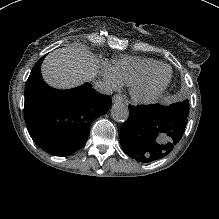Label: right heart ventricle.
Listing matches in <instances>:
<instances>
[{"label":"right heart ventricle","mask_w":219,"mask_h":219,"mask_svg":"<svg viewBox=\"0 0 219 219\" xmlns=\"http://www.w3.org/2000/svg\"><path fill=\"white\" fill-rule=\"evenodd\" d=\"M160 65L162 63L151 58L126 56L113 61L112 73L120 84L131 87Z\"/></svg>","instance_id":"e07e8e85"}]
</instances>
